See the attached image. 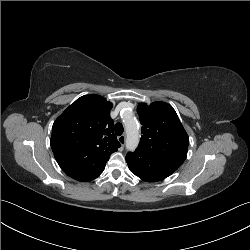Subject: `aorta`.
Instances as JSON below:
<instances>
[{
  "label": "aorta",
  "instance_id": "762f6f07",
  "mask_svg": "<svg viewBox=\"0 0 250 250\" xmlns=\"http://www.w3.org/2000/svg\"><path fill=\"white\" fill-rule=\"evenodd\" d=\"M126 129V148L129 151H134L139 144V125L135 118L131 116L124 119Z\"/></svg>",
  "mask_w": 250,
  "mask_h": 250
}]
</instances>
